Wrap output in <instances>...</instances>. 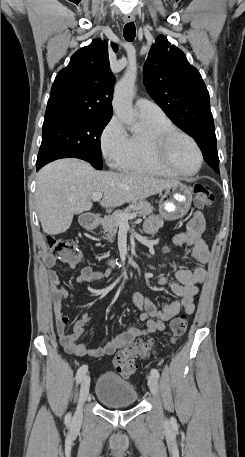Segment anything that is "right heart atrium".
<instances>
[{"mask_svg": "<svg viewBox=\"0 0 245 457\" xmlns=\"http://www.w3.org/2000/svg\"><path fill=\"white\" fill-rule=\"evenodd\" d=\"M100 142L105 157L111 161L117 160L126 153L130 144V135L116 115H113L104 127Z\"/></svg>", "mask_w": 245, "mask_h": 457, "instance_id": "obj_1", "label": "right heart atrium"}]
</instances>
